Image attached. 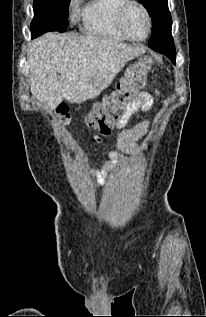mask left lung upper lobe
<instances>
[{"label":"left lung upper lobe","mask_w":206,"mask_h":317,"mask_svg":"<svg viewBox=\"0 0 206 317\" xmlns=\"http://www.w3.org/2000/svg\"><path fill=\"white\" fill-rule=\"evenodd\" d=\"M147 9L153 21L152 36L148 43H173L172 19L167 0H138Z\"/></svg>","instance_id":"1"}]
</instances>
